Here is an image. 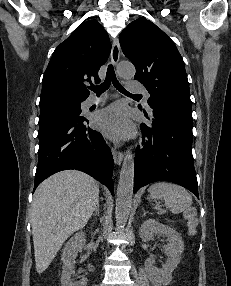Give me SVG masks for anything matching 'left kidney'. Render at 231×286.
Returning <instances> with one entry per match:
<instances>
[{
    "label": "left kidney",
    "mask_w": 231,
    "mask_h": 286,
    "mask_svg": "<svg viewBox=\"0 0 231 286\" xmlns=\"http://www.w3.org/2000/svg\"><path fill=\"white\" fill-rule=\"evenodd\" d=\"M139 235L145 242L153 239L155 235L167 238L168 243L163 247L167 256L166 263L161 269H158L153 265V259H147L145 261V271L154 286L168 285L172 280V272L179 264L181 253L184 250V242L180 234L175 229L154 219H147L142 223Z\"/></svg>",
    "instance_id": "1"
}]
</instances>
